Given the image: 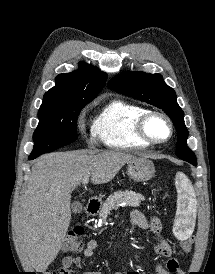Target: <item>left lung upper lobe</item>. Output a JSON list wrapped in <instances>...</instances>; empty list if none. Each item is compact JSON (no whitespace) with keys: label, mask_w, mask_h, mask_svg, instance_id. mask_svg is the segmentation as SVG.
<instances>
[{"label":"left lung upper lobe","mask_w":215,"mask_h":274,"mask_svg":"<svg viewBox=\"0 0 215 274\" xmlns=\"http://www.w3.org/2000/svg\"><path fill=\"white\" fill-rule=\"evenodd\" d=\"M108 87L162 109L174 122L177 130L175 154L184 161L196 162L195 154L187 146L188 130L184 124V112L177 103L175 91L166 85L160 74L125 72L111 79Z\"/></svg>","instance_id":"obj_1"}]
</instances>
